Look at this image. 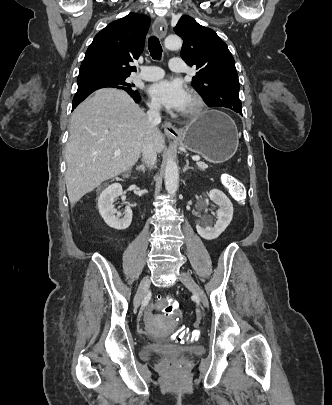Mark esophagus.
Here are the masks:
<instances>
[{
	"label": "esophagus",
	"mask_w": 332,
	"mask_h": 405,
	"mask_svg": "<svg viewBox=\"0 0 332 405\" xmlns=\"http://www.w3.org/2000/svg\"><path fill=\"white\" fill-rule=\"evenodd\" d=\"M167 29L168 25L165 18H157L155 20L153 25V31L159 38L163 39L165 37V35L167 34ZM163 128L164 132L170 137H177L180 136L181 134L180 131L169 121H165L163 123Z\"/></svg>",
	"instance_id": "1"
}]
</instances>
